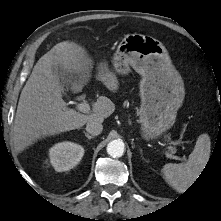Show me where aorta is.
<instances>
[{
    "label": "aorta",
    "instance_id": "1",
    "mask_svg": "<svg viewBox=\"0 0 221 221\" xmlns=\"http://www.w3.org/2000/svg\"><path fill=\"white\" fill-rule=\"evenodd\" d=\"M124 143L121 140H113L107 145V153L112 157H121L124 153Z\"/></svg>",
    "mask_w": 221,
    "mask_h": 221
}]
</instances>
